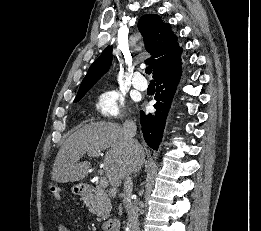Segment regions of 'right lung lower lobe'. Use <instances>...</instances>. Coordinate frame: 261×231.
Returning a JSON list of instances; mask_svg holds the SVG:
<instances>
[{
  "label": "right lung lower lobe",
  "mask_w": 261,
  "mask_h": 231,
  "mask_svg": "<svg viewBox=\"0 0 261 231\" xmlns=\"http://www.w3.org/2000/svg\"><path fill=\"white\" fill-rule=\"evenodd\" d=\"M182 67L169 71L165 74L158 76L155 79L157 90L155 100H157L154 108L156 112L146 115L140 111V123L142 126L143 137L149 147L154 150L162 140L163 130L172 99L177 89Z\"/></svg>",
  "instance_id": "98d812e1"
}]
</instances>
